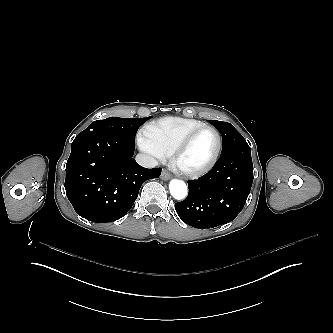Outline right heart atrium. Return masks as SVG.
I'll return each instance as SVG.
<instances>
[{
  "label": "right heart atrium",
  "instance_id": "d8ad5b80",
  "mask_svg": "<svg viewBox=\"0 0 333 333\" xmlns=\"http://www.w3.org/2000/svg\"><path fill=\"white\" fill-rule=\"evenodd\" d=\"M140 148L146 152L153 160L158 161L160 159V156H158L156 153L148 150L147 148L140 146Z\"/></svg>",
  "mask_w": 333,
  "mask_h": 333
}]
</instances>
